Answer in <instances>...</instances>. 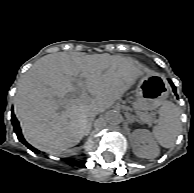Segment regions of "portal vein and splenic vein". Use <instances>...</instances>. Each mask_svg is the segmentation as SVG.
Returning a JSON list of instances; mask_svg holds the SVG:
<instances>
[{"label": "portal vein and splenic vein", "instance_id": "portal-vein-and-splenic-vein-1", "mask_svg": "<svg viewBox=\"0 0 194 193\" xmlns=\"http://www.w3.org/2000/svg\"><path fill=\"white\" fill-rule=\"evenodd\" d=\"M78 84H79V86H81V87H82V84H81L80 82H78Z\"/></svg>", "mask_w": 194, "mask_h": 193}]
</instances>
